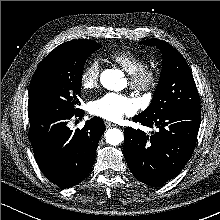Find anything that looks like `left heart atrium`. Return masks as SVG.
Wrapping results in <instances>:
<instances>
[{
  "label": "left heart atrium",
  "instance_id": "obj_1",
  "mask_svg": "<svg viewBox=\"0 0 220 220\" xmlns=\"http://www.w3.org/2000/svg\"><path fill=\"white\" fill-rule=\"evenodd\" d=\"M136 110V102L122 94L107 93L90 103V112L105 120L117 121Z\"/></svg>",
  "mask_w": 220,
  "mask_h": 220
}]
</instances>
